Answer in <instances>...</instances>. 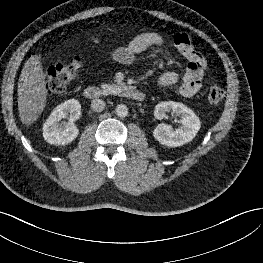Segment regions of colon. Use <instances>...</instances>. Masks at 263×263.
<instances>
[{
  "label": "colon",
  "instance_id": "obj_1",
  "mask_svg": "<svg viewBox=\"0 0 263 263\" xmlns=\"http://www.w3.org/2000/svg\"><path fill=\"white\" fill-rule=\"evenodd\" d=\"M81 66L80 57H74L70 62L50 66L46 72V89L49 93L64 91L76 77ZM225 92L219 85H212L208 89V100L216 104L222 101Z\"/></svg>",
  "mask_w": 263,
  "mask_h": 263
}]
</instances>
